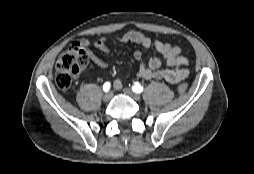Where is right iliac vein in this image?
Returning a JSON list of instances; mask_svg holds the SVG:
<instances>
[{"instance_id":"1","label":"right iliac vein","mask_w":254,"mask_h":174,"mask_svg":"<svg viewBox=\"0 0 254 174\" xmlns=\"http://www.w3.org/2000/svg\"><path fill=\"white\" fill-rule=\"evenodd\" d=\"M112 97H113V93H112V92H108V93H106V94L103 96V100H104L105 102H109V101L112 99Z\"/></svg>"}]
</instances>
